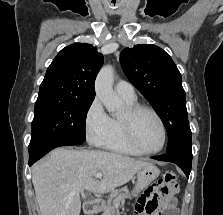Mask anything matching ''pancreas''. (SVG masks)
Wrapping results in <instances>:
<instances>
[{"label": "pancreas", "mask_w": 223, "mask_h": 215, "mask_svg": "<svg viewBox=\"0 0 223 215\" xmlns=\"http://www.w3.org/2000/svg\"><path fill=\"white\" fill-rule=\"evenodd\" d=\"M127 190V185H125V187H120V189H114V191H112L111 195H109L106 201L111 203L110 205H108V207L105 208L110 211L102 213V215H115V207L113 206H115L116 203H120V201H124L127 195H130L126 192Z\"/></svg>", "instance_id": "pancreas-1"}]
</instances>
